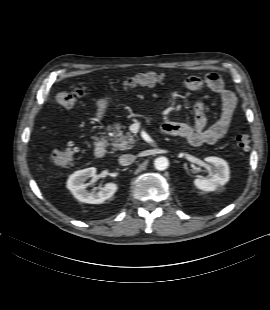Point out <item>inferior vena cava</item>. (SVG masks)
<instances>
[{"label":"inferior vena cava","mask_w":270,"mask_h":310,"mask_svg":"<svg viewBox=\"0 0 270 310\" xmlns=\"http://www.w3.org/2000/svg\"><path fill=\"white\" fill-rule=\"evenodd\" d=\"M135 161V156L132 154H124L119 157V163L122 166H128Z\"/></svg>","instance_id":"1"}]
</instances>
